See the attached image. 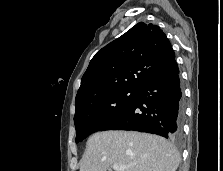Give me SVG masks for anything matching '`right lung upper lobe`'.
I'll return each mask as SVG.
<instances>
[{
  "label": "right lung upper lobe",
  "mask_w": 223,
  "mask_h": 171,
  "mask_svg": "<svg viewBox=\"0 0 223 171\" xmlns=\"http://www.w3.org/2000/svg\"><path fill=\"white\" fill-rule=\"evenodd\" d=\"M175 61L165 33L139 22L99 50L81 79L76 109L119 91H138Z\"/></svg>",
  "instance_id": "right-lung-upper-lobe-1"
}]
</instances>
